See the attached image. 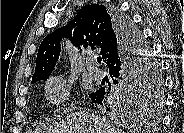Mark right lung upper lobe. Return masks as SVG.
Masks as SVG:
<instances>
[{
  "instance_id": "1",
  "label": "right lung upper lobe",
  "mask_w": 184,
  "mask_h": 133,
  "mask_svg": "<svg viewBox=\"0 0 184 133\" xmlns=\"http://www.w3.org/2000/svg\"><path fill=\"white\" fill-rule=\"evenodd\" d=\"M62 37L69 38L80 50L81 47L100 49L106 63L116 56L121 47L111 11L99 4L84 6L68 25L44 38L38 50L32 82L49 78L60 55Z\"/></svg>"
}]
</instances>
